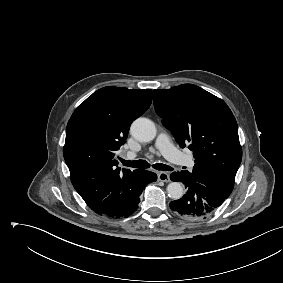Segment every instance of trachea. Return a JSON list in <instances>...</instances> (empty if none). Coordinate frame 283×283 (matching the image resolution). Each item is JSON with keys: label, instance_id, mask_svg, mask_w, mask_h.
<instances>
[{"label": "trachea", "instance_id": "trachea-1", "mask_svg": "<svg viewBox=\"0 0 283 283\" xmlns=\"http://www.w3.org/2000/svg\"><path fill=\"white\" fill-rule=\"evenodd\" d=\"M121 162L124 166L133 167V168L145 169V168L150 167V164L145 160L128 161V160L122 159ZM152 167L154 169H157V170H164V171H172L173 170L172 167L165 165V164H162V163L153 164Z\"/></svg>", "mask_w": 283, "mask_h": 283}]
</instances>
